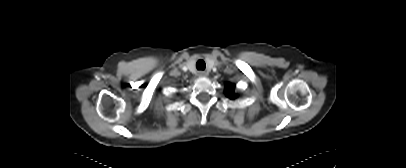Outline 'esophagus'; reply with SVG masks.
<instances>
[{
    "label": "esophagus",
    "instance_id": "esophagus-1",
    "mask_svg": "<svg viewBox=\"0 0 406 168\" xmlns=\"http://www.w3.org/2000/svg\"><path fill=\"white\" fill-rule=\"evenodd\" d=\"M199 75H200V76H207L208 73H207L206 71H200V72H199Z\"/></svg>",
    "mask_w": 406,
    "mask_h": 168
}]
</instances>
